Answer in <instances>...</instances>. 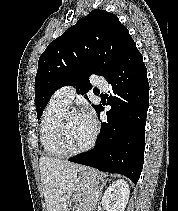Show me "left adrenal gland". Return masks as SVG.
I'll use <instances>...</instances> for the list:
<instances>
[{
	"label": "left adrenal gland",
	"mask_w": 178,
	"mask_h": 211,
	"mask_svg": "<svg viewBox=\"0 0 178 211\" xmlns=\"http://www.w3.org/2000/svg\"><path fill=\"white\" fill-rule=\"evenodd\" d=\"M106 182H107L106 180H103V182H102V185H101V187H100L101 193H102V189H103V187L105 186ZM101 193H100V196H101Z\"/></svg>",
	"instance_id": "left-adrenal-gland-1"
}]
</instances>
